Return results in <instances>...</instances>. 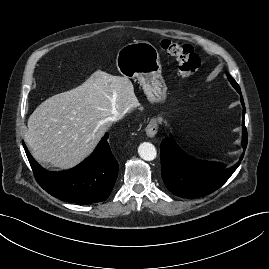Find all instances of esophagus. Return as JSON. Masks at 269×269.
<instances>
[{"mask_svg":"<svg viewBox=\"0 0 269 269\" xmlns=\"http://www.w3.org/2000/svg\"><path fill=\"white\" fill-rule=\"evenodd\" d=\"M146 134L148 137L153 138L158 132V124L156 119H151L148 125L146 126Z\"/></svg>","mask_w":269,"mask_h":269,"instance_id":"obj_1","label":"esophagus"}]
</instances>
